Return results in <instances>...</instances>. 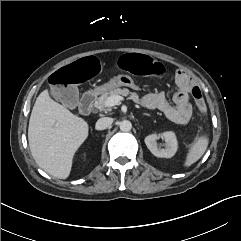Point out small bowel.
<instances>
[{
    "label": "small bowel",
    "instance_id": "small-bowel-1",
    "mask_svg": "<svg viewBox=\"0 0 241 241\" xmlns=\"http://www.w3.org/2000/svg\"><path fill=\"white\" fill-rule=\"evenodd\" d=\"M175 80L178 91L173 96V103L164 92L146 94L140 99V103L146 108L158 109L174 123L184 125L189 122L192 115L189 93L192 94L194 89H200L190 74L183 69L176 71Z\"/></svg>",
    "mask_w": 241,
    "mask_h": 241
}]
</instances>
